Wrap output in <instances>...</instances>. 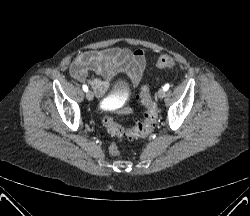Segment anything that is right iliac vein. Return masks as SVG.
<instances>
[{
    "mask_svg": "<svg viewBox=\"0 0 250 216\" xmlns=\"http://www.w3.org/2000/svg\"><path fill=\"white\" fill-rule=\"evenodd\" d=\"M93 93L92 91H87L86 92V98L89 100V101H92L93 100Z\"/></svg>",
    "mask_w": 250,
    "mask_h": 216,
    "instance_id": "right-iliac-vein-1",
    "label": "right iliac vein"
}]
</instances>
